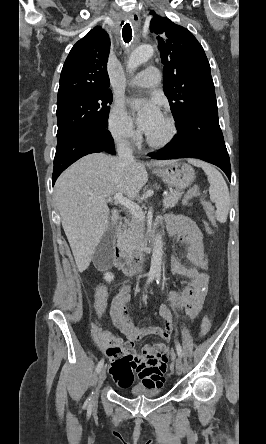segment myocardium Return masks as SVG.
Returning <instances> with one entry per match:
<instances>
[{
	"label": "myocardium",
	"mask_w": 266,
	"mask_h": 444,
	"mask_svg": "<svg viewBox=\"0 0 266 444\" xmlns=\"http://www.w3.org/2000/svg\"><path fill=\"white\" fill-rule=\"evenodd\" d=\"M164 118L166 119V121L168 123L169 133L163 140L155 141V140L151 139L146 134V142L152 148L160 149V148H164V147L168 146L174 140V138L177 134V125H176L174 118L170 115H166Z\"/></svg>",
	"instance_id": "f54148a6"
}]
</instances>
